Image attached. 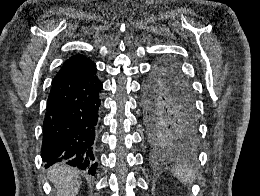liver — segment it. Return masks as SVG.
Segmentation results:
<instances>
[{
    "instance_id": "obj_1",
    "label": "liver",
    "mask_w": 260,
    "mask_h": 196,
    "mask_svg": "<svg viewBox=\"0 0 260 196\" xmlns=\"http://www.w3.org/2000/svg\"><path fill=\"white\" fill-rule=\"evenodd\" d=\"M48 176L54 184L57 196H77L81 182L75 168L55 164L50 168Z\"/></svg>"
}]
</instances>
